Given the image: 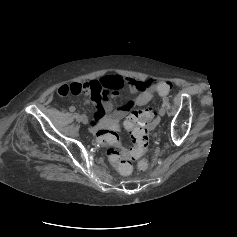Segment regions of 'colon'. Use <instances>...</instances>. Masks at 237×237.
<instances>
[{
	"instance_id": "colon-1",
	"label": "colon",
	"mask_w": 237,
	"mask_h": 237,
	"mask_svg": "<svg viewBox=\"0 0 237 237\" xmlns=\"http://www.w3.org/2000/svg\"><path fill=\"white\" fill-rule=\"evenodd\" d=\"M154 88L160 95H166L170 92L172 84L168 81H158L154 83ZM156 123L157 117L152 109L133 111L125 123L132 139V147L130 148L122 146L118 134L113 130L100 129L96 132L97 142L106 148L109 162L115 166L120 174H130L132 161H140L139 168H146L147 164L142 157L149 146V129Z\"/></svg>"
}]
</instances>
